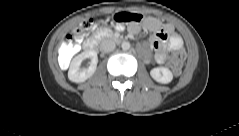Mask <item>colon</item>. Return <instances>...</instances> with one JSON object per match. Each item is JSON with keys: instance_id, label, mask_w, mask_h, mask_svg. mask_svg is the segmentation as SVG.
<instances>
[{"instance_id": "colon-1", "label": "colon", "mask_w": 239, "mask_h": 136, "mask_svg": "<svg viewBox=\"0 0 239 136\" xmlns=\"http://www.w3.org/2000/svg\"><path fill=\"white\" fill-rule=\"evenodd\" d=\"M93 27V20H84L74 32L66 38L61 45V52L63 57H70L77 51V41ZM186 58V53L179 48L174 50L169 58L170 67L175 75H179L183 69V62Z\"/></svg>"}]
</instances>
